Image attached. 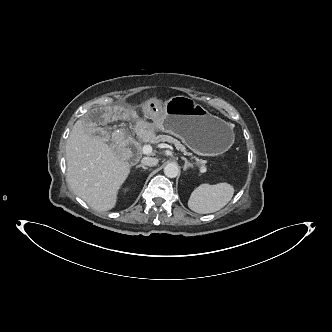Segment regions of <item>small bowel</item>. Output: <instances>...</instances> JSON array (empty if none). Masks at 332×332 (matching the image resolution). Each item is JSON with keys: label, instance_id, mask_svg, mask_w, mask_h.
Returning a JSON list of instances; mask_svg holds the SVG:
<instances>
[{"label": "small bowel", "instance_id": "c3829d8e", "mask_svg": "<svg viewBox=\"0 0 332 332\" xmlns=\"http://www.w3.org/2000/svg\"><path fill=\"white\" fill-rule=\"evenodd\" d=\"M162 110V103L158 99H147L144 102V114L148 119H156ZM129 112L126 108L115 104H106L97 111L90 112L83 119V126L86 129H93L102 123L114 126H124L129 121ZM136 132L141 138H150L153 130L150 125L140 122L136 126Z\"/></svg>", "mask_w": 332, "mask_h": 332}]
</instances>
